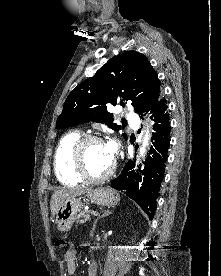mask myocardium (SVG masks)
Returning <instances> with one entry per match:
<instances>
[{
  "mask_svg": "<svg viewBox=\"0 0 221 276\" xmlns=\"http://www.w3.org/2000/svg\"><path fill=\"white\" fill-rule=\"evenodd\" d=\"M93 142H103L104 140L97 135H85L80 137L72 150V164L77 175L88 182L98 183L108 179L116 170V161L114 160L110 168L101 175H92L87 169L85 162V149L88 144Z\"/></svg>",
  "mask_w": 221,
  "mask_h": 276,
  "instance_id": "1",
  "label": "myocardium"
}]
</instances>
